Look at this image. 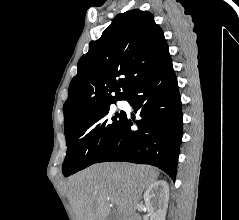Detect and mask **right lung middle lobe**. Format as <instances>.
<instances>
[{
  "label": "right lung middle lobe",
  "instance_id": "dd1d6c3e",
  "mask_svg": "<svg viewBox=\"0 0 239 220\" xmlns=\"http://www.w3.org/2000/svg\"><path fill=\"white\" fill-rule=\"evenodd\" d=\"M125 117L124 112H115L106 105L80 117L65 130L67 154L62 167L64 176L95 163L121 128Z\"/></svg>",
  "mask_w": 239,
  "mask_h": 220
}]
</instances>
